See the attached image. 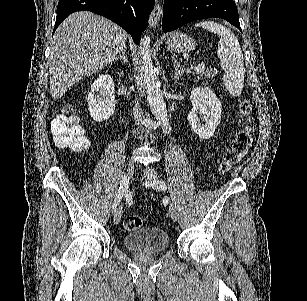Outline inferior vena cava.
<instances>
[{"label":"inferior vena cava","instance_id":"obj_1","mask_svg":"<svg viewBox=\"0 0 307 301\" xmlns=\"http://www.w3.org/2000/svg\"><path fill=\"white\" fill-rule=\"evenodd\" d=\"M133 116L135 124H137V128H139V124H143V122H145V116L142 112V108H140L139 102H135L133 106Z\"/></svg>","mask_w":307,"mask_h":301}]
</instances>
